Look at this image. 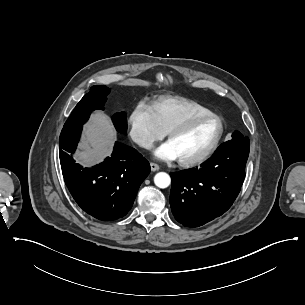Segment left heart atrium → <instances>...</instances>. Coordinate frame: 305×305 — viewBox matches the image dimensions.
Returning a JSON list of instances; mask_svg holds the SVG:
<instances>
[{"mask_svg": "<svg viewBox=\"0 0 305 305\" xmlns=\"http://www.w3.org/2000/svg\"><path fill=\"white\" fill-rule=\"evenodd\" d=\"M155 156L163 160L178 159L177 151L172 146L171 142H165L155 152Z\"/></svg>", "mask_w": 305, "mask_h": 305, "instance_id": "obj_1", "label": "left heart atrium"}]
</instances>
